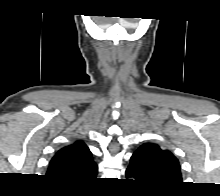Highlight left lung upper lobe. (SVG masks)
Wrapping results in <instances>:
<instances>
[{
    "label": "left lung upper lobe",
    "mask_w": 220,
    "mask_h": 196,
    "mask_svg": "<svg viewBox=\"0 0 220 196\" xmlns=\"http://www.w3.org/2000/svg\"><path fill=\"white\" fill-rule=\"evenodd\" d=\"M132 157L153 187L165 190L181 183L179 161L169 150H163L154 143H145L134 152Z\"/></svg>",
    "instance_id": "left-lung-upper-lobe-1"
}]
</instances>
